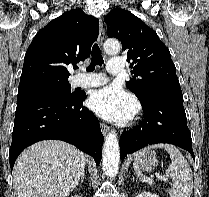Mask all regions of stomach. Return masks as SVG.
I'll list each match as a JSON object with an SVG mask.
<instances>
[{
  "instance_id": "0dacf381",
  "label": "stomach",
  "mask_w": 209,
  "mask_h": 197,
  "mask_svg": "<svg viewBox=\"0 0 209 197\" xmlns=\"http://www.w3.org/2000/svg\"><path fill=\"white\" fill-rule=\"evenodd\" d=\"M157 155L154 151L148 150L138 160L139 169L151 171L157 166Z\"/></svg>"
}]
</instances>
